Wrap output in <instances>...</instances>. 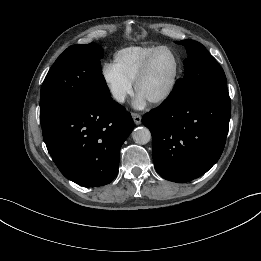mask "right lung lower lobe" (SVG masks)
I'll return each instance as SVG.
<instances>
[{
  "label": "right lung lower lobe",
  "instance_id": "right-lung-lower-lobe-1",
  "mask_svg": "<svg viewBox=\"0 0 261 261\" xmlns=\"http://www.w3.org/2000/svg\"><path fill=\"white\" fill-rule=\"evenodd\" d=\"M53 161L69 180L84 186L109 184L117 175L120 148L134 128L120 104L85 103L41 125Z\"/></svg>",
  "mask_w": 261,
  "mask_h": 261
}]
</instances>
